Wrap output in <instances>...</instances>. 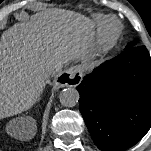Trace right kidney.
Masks as SVG:
<instances>
[{
	"mask_svg": "<svg viewBox=\"0 0 151 151\" xmlns=\"http://www.w3.org/2000/svg\"><path fill=\"white\" fill-rule=\"evenodd\" d=\"M14 123H15V121H14ZM10 129H11L12 133H14V134L17 133V129L15 128L14 125H10ZM27 135H28V131H27ZM27 135L25 136V139H26Z\"/></svg>",
	"mask_w": 151,
	"mask_h": 151,
	"instance_id": "right-kidney-1",
	"label": "right kidney"
}]
</instances>
